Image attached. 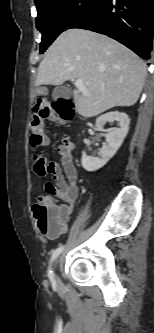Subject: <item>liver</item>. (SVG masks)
Wrapping results in <instances>:
<instances>
[{
  "instance_id": "obj_1",
  "label": "liver",
  "mask_w": 154,
  "mask_h": 333,
  "mask_svg": "<svg viewBox=\"0 0 154 333\" xmlns=\"http://www.w3.org/2000/svg\"><path fill=\"white\" fill-rule=\"evenodd\" d=\"M145 75L146 63L118 41L85 29H68L48 49L35 85L81 79L87 94L73 91L75 109L83 117H93L116 106L134 105Z\"/></svg>"
}]
</instances>
